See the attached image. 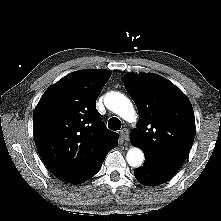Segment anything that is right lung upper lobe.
<instances>
[{
  "instance_id": "obj_1",
  "label": "right lung upper lobe",
  "mask_w": 221,
  "mask_h": 221,
  "mask_svg": "<svg viewBox=\"0 0 221 221\" xmlns=\"http://www.w3.org/2000/svg\"><path fill=\"white\" fill-rule=\"evenodd\" d=\"M107 70H81L50 86L33 115L35 144L57 178L74 183L117 145L96 110V98L109 80Z\"/></svg>"
}]
</instances>
